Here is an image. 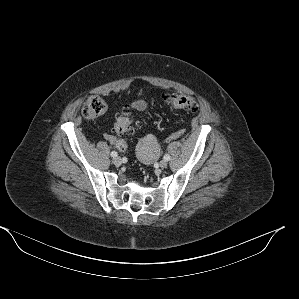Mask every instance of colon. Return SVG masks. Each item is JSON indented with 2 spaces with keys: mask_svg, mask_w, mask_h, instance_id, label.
<instances>
[{
  "mask_svg": "<svg viewBox=\"0 0 299 299\" xmlns=\"http://www.w3.org/2000/svg\"><path fill=\"white\" fill-rule=\"evenodd\" d=\"M166 99L168 103L177 110L195 111L199 109L198 101L189 95L172 94ZM106 109L107 105L104 99L99 96L92 95L88 97L83 104L82 114L87 119H95L103 115ZM113 131L117 135V148L126 150L127 145L121 137L134 131V119L132 115L129 112L121 113L114 123Z\"/></svg>",
  "mask_w": 299,
  "mask_h": 299,
  "instance_id": "5ec220e1",
  "label": "colon"
}]
</instances>
